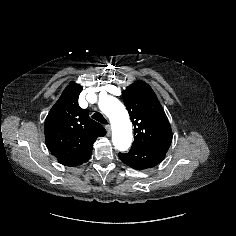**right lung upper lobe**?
I'll return each instance as SVG.
<instances>
[{"mask_svg":"<svg viewBox=\"0 0 236 236\" xmlns=\"http://www.w3.org/2000/svg\"><path fill=\"white\" fill-rule=\"evenodd\" d=\"M81 91L79 84L68 85L44 124L46 145L65 166H75L89 156L96 138L106 134L102 125L89 118L88 110L80 108Z\"/></svg>","mask_w":236,"mask_h":236,"instance_id":"cb5924a9","label":"right lung upper lobe"}]
</instances>
